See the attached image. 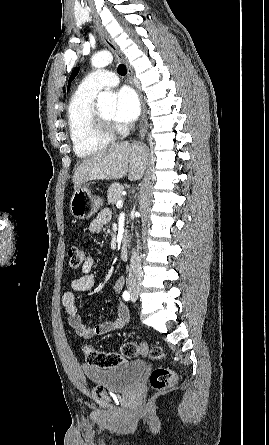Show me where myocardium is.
Wrapping results in <instances>:
<instances>
[{"label":"myocardium","instance_id":"obj_1","mask_svg":"<svg viewBox=\"0 0 269 445\" xmlns=\"http://www.w3.org/2000/svg\"><path fill=\"white\" fill-rule=\"evenodd\" d=\"M93 124L95 129L104 135H113L116 124L112 119L104 117L100 111L94 109L93 112Z\"/></svg>","mask_w":269,"mask_h":445}]
</instances>
